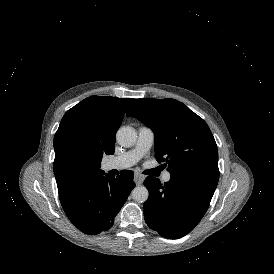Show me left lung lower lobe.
Here are the masks:
<instances>
[{"instance_id": "obj_1", "label": "left lung lower lobe", "mask_w": 274, "mask_h": 274, "mask_svg": "<svg viewBox=\"0 0 274 274\" xmlns=\"http://www.w3.org/2000/svg\"><path fill=\"white\" fill-rule=\"evenodd\" d=\"M149 197L144 203L147 225L161 236L181 238L207 211L217 184L171 176L168 182L148 176L144 181Z\"/></svg>"}]
</instances>
